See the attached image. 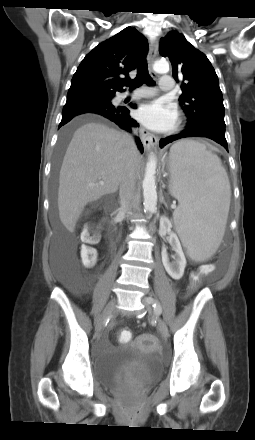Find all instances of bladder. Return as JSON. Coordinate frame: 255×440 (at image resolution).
Segmentation results:
<instances>
[{"label": "bladder", "mask_w": 255, "mask_h": 440, "mask_svg": "<svg viewBox=\"0 0 255 440\" xmlns=\"http://www.w3.org/2000/svg\"><path fill=\"white\" fill-rule=\"evenodd\" d=\"M145 345L144 340L137 339L95 358L96 380L103 386L111 387L129 371H134L140 376L144 386L157 381L163 372L161 357L159 353L145 348Z\"/></svg>", "instance_id": "31cf9c89"}]
</instances>
